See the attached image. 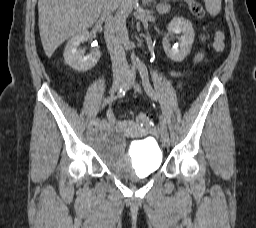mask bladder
<instances>
[{
  "label": "bladder",
  "mask_w": 256,
  "mask_h": 228,
  "mask_svg": "<svg viewBox=\"0 0 256 228\" xmlns=\"http://www.w3.org/2000/svg\"><path fill=\"white\" fill-rule=\"evenodd\" d=\"M91 146L107 168L122 179L148 177L163 163V153L155 140L142 139L132 143L130 153L124 154L125 139L114 126L95 132Z\"/></svg>",
  "instance_id": "1"
}]
</instances>
